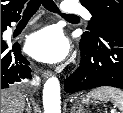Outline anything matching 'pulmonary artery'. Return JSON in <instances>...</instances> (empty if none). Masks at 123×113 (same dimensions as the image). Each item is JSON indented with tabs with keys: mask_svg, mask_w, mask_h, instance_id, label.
<instances>
[{
	"mask_svg": "<svg viewBox=\"0 0 123 113\" xmlns=\"http://www.w3.org/2000/svg\"><path fill=\"white\" fill-rule=\"evenodd\" d=\"M62 8L65 13H79L86 19H90V14L87 10L80 6L74 1H64L62 2Z\"/></svg>",
	"mask_w": 123,
	"mask_h": 113,
	"instance_id": "1",
	"label": "pulmonary artery"
}]
</instances>
